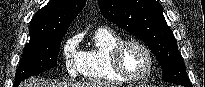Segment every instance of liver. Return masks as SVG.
I'll return each mask as SVG.
<instances>
[{"mask_svg": "<svg viewBox=\"0 0 205 87\" xmlns=\"http://www.w3.org/2000/svg\"><path fill=\"white\" fill-rule=\"evenodd\" d=\"M20 87H113L109 84L101 82L90 83H67V82H48L44 80L30 79L27 82L20 84Z\"/></svg>", "mask_w": 205, "mask_h": 87, "instance_id": "obj_1", "label": "liver"}]
</instances>
